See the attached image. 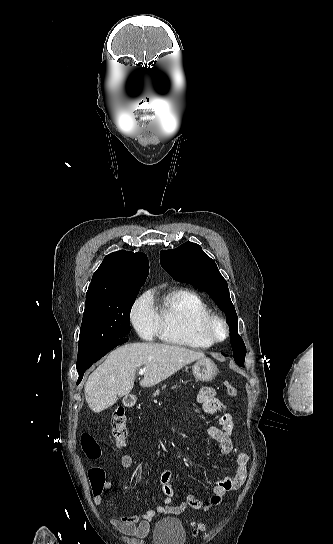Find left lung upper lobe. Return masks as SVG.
<instances>
[{
  "mask_svg": "<svg viewBox=\"0 0 333 544\" xmlns=\"http://www.w3.org/2000/svg\"><path fill=\"white\" fill-rule=\"evenodd\" d=\"M161 266L175 279L192 284L208 293L226 313L231 330L233 357L244 366L246 347L237 333L238 317L229 296L226 280L215 262L195 243L186 242L173 250L160 252Z\"/></svg>",
  "mask_w": 333,
  "mask_h": 544,
  "instance_id": "1",
  "label": "left lung upper lobe"
}]
</instances>
